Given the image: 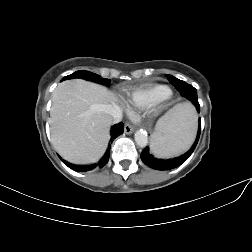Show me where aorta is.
I'll use <instances>...</instances> for the list:
<instances>
[{
  "instance_id": "762f6f07",
  "label": "aorta",
  "mask_w": 252,
  "mask_h": 252,
  "mask_svg": "<svg viewBox=\"0 0 252 252\" xmlns=\"http://www.w3.org/2000/svg\"><path fill=\"white\" fill-rule=\"evenodd\" d=\"M134 139L140 147H145L148 143V137L145 131H137L134 135Z\"/></svg>"
}]
</instances>
